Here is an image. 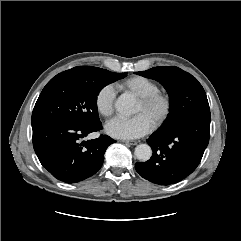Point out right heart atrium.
Segmentation results:
<instances>
[{"label": "right heart atrium", "instance_id": "1", "mask_svg": "<svg viewBox=\"0 0 241 241\" xmlns=\"http://www.w3.org/2000/svg\"><path fill=\"white\" fill-rule=\"evenodd\" d=\"M116 91L113 85H106L99 90L95 98L97 111L104 117H110L114 112Z\"/></svg>", "mask_w": 241, "mask_h": 241}]
</instances>
